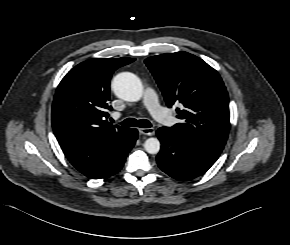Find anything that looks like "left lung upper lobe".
I'll return each mask as SVG.
<instances>
[{"label": "left lung upper lobe", "mask_w": 290, "mask_h": 245, "mask_svg": "<svg viewBox=\"0 0 290 245\" xmlns=\"http://www.w3.org/2000/svg\"><path fill=\"white\" fill-rule=\"evenodd\" d=\"M168 107L181 123L169 128L182 139L222 152L230 128L229 97L218 72L202 59L176 52L145 60Z\"/></svg>", "instance_id": "left-lung-upper-lobe-1"}]
</instances>
